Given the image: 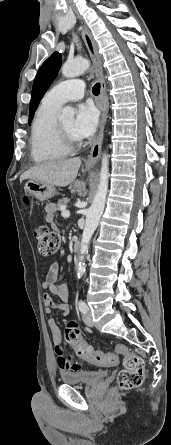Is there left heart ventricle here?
<instances>
[{
  "label": "left heart ventricle",
  "mask_w": 171,
  "mask_h": 445,
  "mask_svg": "<svg viewBox=\"0 0 171 445\" xmlns=\"http://www.w3.org/2000/svg\"><path fill=\"white\" fill-rule=\"evenodd\" d=\"M61 127L65 130V132L73 139L80 140L73 132V120H66L59 122Z\"/></svg>",
  "instance_id": "1"
}]
</instances>
